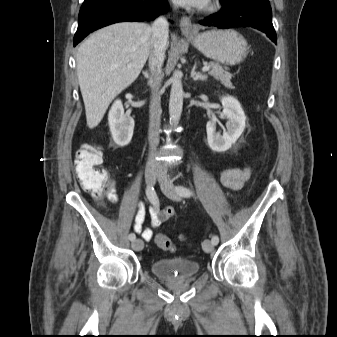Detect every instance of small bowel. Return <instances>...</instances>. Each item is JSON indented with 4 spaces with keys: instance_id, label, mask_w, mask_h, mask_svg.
Returning a JSON list of instances; mask_svg holds the SVG:
<instances>
[{
    "instance_id": "1",
    "label": "small bowel",
    "mask_w": 337,
    "mask_h": 337,
    "mask_svg": "<svg viewBox=\"0 0 337 337\" xmlns=\"http://www.w3.org/2000/svg\"><path fill=\"white\" fill-rule=\"evenodd\" d=\"M251 175V168L244 167H230L224 169L220 174V180L222 184L231 189H240L244 183L249 179ZM117 182L115 179L111 180L110 187L106 193L107 199L112 203L118 202V195H117ZM150 215H151V226L144 227L146 210L142 203L138 204V212L135 216V224H134V231L141 235V237L146 241L149 242L154 237L153 229L159 227L164 222L172 219L175 215V212L172 208H166L160 210L158 206L153 205L150 208Z\"/></svg>"
}]
</instances>
